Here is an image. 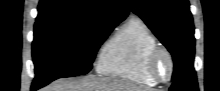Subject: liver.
Instances as JSON below:
<instances>
[{
    "label": "liver",
    "instance_id": "1",
    "mask_svg": "<svg viewBox=\"0 0 220 91\" xmlns=\"http://www.w3.org/2000/svg\"><path fill=\"white\" fill-rule=\"evenodd\" d=\"M42 91H146L124 80L103 77H87L80 80L60 79Z\"/></svg>",
    "mask_w": 220,
    "mask_h": 91
}]
</instances>
